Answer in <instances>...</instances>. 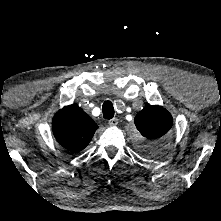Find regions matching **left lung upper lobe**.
Listing matches in <instances>:
<instances>
[{
  "instance_id": "1",
  "label": "left lung upper lobe",
  "mask_w": 221,
  "mask_h": 221,
  "mask_svg": "<svg viewBox=\"0 0 221 221\" xmlns=\"http://www.w3.org/2000/svg\"><path fill=\"white\" fill-rule=\"evenodd\" d=\"M138 134V151L151 158L160 157L166 147V134L172 127L171 114L160 106H146L134 119Z\"/></svg>"
}]
</instances>
